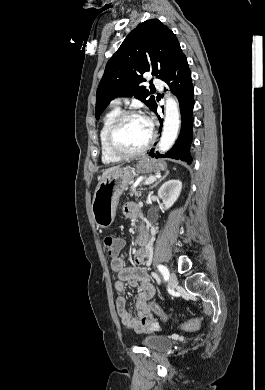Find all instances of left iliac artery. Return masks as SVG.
<instances>
[{
    "instance_id": "44dca946",
    "label": "left iliac artery",
    "mask_w": 265,
    "mask_h": 390,
    "mask_svg": "<svg viewBox=\"0 0 265 390\" xmlns=\"http://www.w3.org/2000/svg\"><path fill=\"white\" fill-rule=\"evenodd\" d=\"M157 268L161 272V274L163 275L164 279L168 280L169 279V270L167 269V267L164 266V265L159 264L157 266Z\"/></svg>"
}]
</instances>
